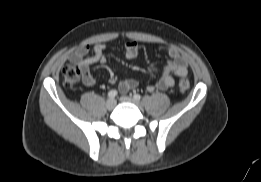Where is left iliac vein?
<instances>
[{"label": "left iliac vein", "instance_id": "1", "mask_svg": "<svg viewBox=\"0 0 261 182\" xmlns=\"http://www.w3.org/2000/svg\"><path fill=\"white\" fill-rule=\"evenodd\" d=\"M120 101L121 102H124V103H132L138 107H141V104L139 101L135 100L134 98L132 97H129V96H121L120 97Z\"/></svg>", "mask_w": 261, "mask_h": 182}]
</instances>
